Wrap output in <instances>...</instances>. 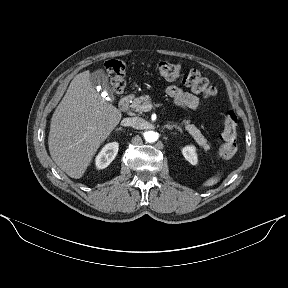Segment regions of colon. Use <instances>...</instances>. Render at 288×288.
Masks as SVG:
<instances>
[{"instance_id": "1", "label": "colon", "mask_w": 288, "mask_h": 288, "mask_svg": "<svg viewBox=\"0 0 288 288\" xmlns=\"http://www.w3.org/2000/svg\"><path fill=\"white\" fill-rule=\"evenodd\" d=\"M105 70L111 77L113 90L116 93H121L126 85L125 65L123 62L116 59L108 60L105 63ZM158 72L166 80H176L182 77L184 84L206 98H212L217 94L216 88L196 69H190L183 73L180 65L161 62L158 65ZM237 123L236 114L233 111H229L224 118V130L221 136L222 143L218 150L219 156L223 159H230L236 153Z\"/></svg>"}]
</instances>
